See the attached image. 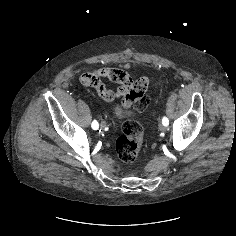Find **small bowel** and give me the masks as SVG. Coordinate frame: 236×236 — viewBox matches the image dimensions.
<instances>
[{"label": "small bowel", "mask_w": 236, "mask_h": 236, "mask_svg": "<svg viewBox=\"0 0 236 236\" xmlns=\"http://www.w3.org/2000/svg\"><path fill=\"white\" fill-rule=\"evenodd\" d=\"M129 68L130 65L127 63L114 68L102 67L96 72L84 73L81 76V83L85 87L95 90L106 101L113 100L116 96L121 97L118 103V112L121 115H126L129 112V107L146 90L149 83V78L146 75H141L138 80L133 82L127 72ZM99 77L118 83L120 87L117 93L107 90Z\"/></svg>", "instance_id": "c3829d8e"}]
</instances>
